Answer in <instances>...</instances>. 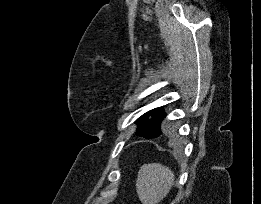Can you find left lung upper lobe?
Masks as SVG:
<instances>
[{
	"instance_id": "5c2ea615",
	"label": "left lung upper lobe",
	"mask_w": 261,
	"mask_h": 204,
	"mask_svg": "<svg viewBox=\"0 0 261 204\" xmlns=\"http://www.w3.org/2000/svg\"><path fill=\"white\" fill-rule=\"evenodd\" d=\"M148 116H152V118L149 119ZM164 118L165 114L162 112L161 108H156L145 113L136 123L138 126L137 135L147 139L157 137L165 127V124L163 123Z\"/></svg>"
}]
</instances>
